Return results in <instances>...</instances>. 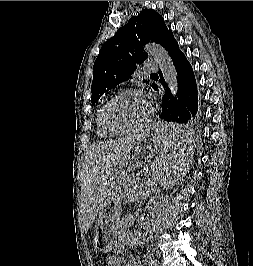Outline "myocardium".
<instances>
[{"label":"myocardium","instance_id":"myocardium-1","mask_svg":"<svg viewBox=\"0 0 253 266\" xmlns=\"http://www.w3.org/2000/svg\"><path fill=\"white\" fill-rule=\"evenodd\" d=\"M129 94H134V95H140V96H143L144 97V94L140 91V90H137V89H132V88H129V89H124L118 93H116L114 96H112L103 106H102V109H101V112H100V124H101V127L102 129L110 134V135H113V136H116V135H123V134H129V133H132L140 128H142L143 126H145L148 121H149V118H150V114L152 112V108H150V112L148 113V115L145 117V119L138 123L137 125L133 126V127H130V128H127V129H115V128H112L110 126L107 125L106 123V113H107V110L108 108L117 100L119 99L120 97L122 96H125V95H129Z\"/></svg>","mask_w":253,"mask_h":266}]
</instances>
